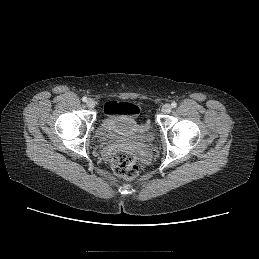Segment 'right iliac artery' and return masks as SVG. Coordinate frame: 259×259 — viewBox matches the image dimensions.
I'll return each mask as SVG.
<instances>
[{"label":"right iliac artery","mask_w":259,"mask_h":259,"mask_svg":"<svg viewBox=\"0 0 259 259\" xmlns=\"http://www.w3.org/2000/svg\"><path fill=\"white\" fill-rule=\"evenodd\" d=\"M82 101H83V102H86V101H87V97H83V98H82Z\"/></svg>","instance_id":"right-iliac-artery-1"}]
</instances>
